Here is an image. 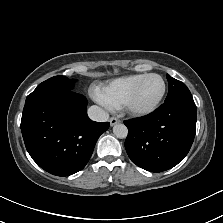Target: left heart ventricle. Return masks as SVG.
<instances>
[{
  "mask_svg": "<svg viewBox=\"0 0 223 223\" xmlns=\"http://www.w3.org/2000/svg\"><path fill=\"white\" fill-rule=\"evenodd\" d=\"M162 90V82L157 76H150L141 83L132 106L138 109L150 107L158 98Z\"/></svg>",
  "mask_w": 223,
  "mask_h": 223,
  "instance_id": "obj_1",
  "label": "left heart ventricle"
}]
</instances>
